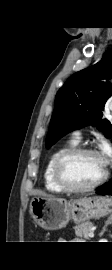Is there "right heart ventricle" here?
<instances>
[{
  "mask_svg": "<svg viewBox=\"0 0 112 270\" xmlns=\"http://www.w3.org/2000/svg\"><path fill=\"white\" fill-rule=\"evenodd\" d=\"M76 143L77 142L75 140H70L65 145L60 146L59 148L54 150L52 152V154L50 155V157L48 158L47 163H46L45 168H44V172H43V180H44L45 188L49 192L56 193V194H60V193L65 192L61 187H59L57 185V183L54 179V175H53L54 163H55L57 157L62 152L75 147Z\"/></svg>",
  "mask_w": 112,
  "mask_h": 270,
  "instance_id": "1",
  "label": "right heart ventricle"
}]
</instances>
